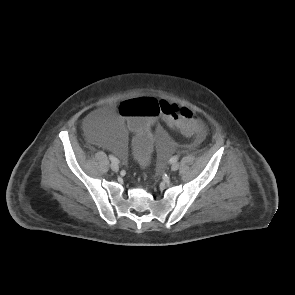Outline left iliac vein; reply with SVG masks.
<instances>
[{
    "mask_svg": "<svg viewBox=\"0 0 295 295\" xmlns=\"http://www.w3.org/2000/svg\"><path fill=\"white\" fill-rule=\"evenodd\" d=\"M179 166H180L179 162H175L171 165V170L176 171L178 170Z\"/></svg>",
    "mask_w": 295,
    "mask_h": 295,
    "instance_id": "obj_1",
    "label": "left iliac vein"
}]
</instances>
